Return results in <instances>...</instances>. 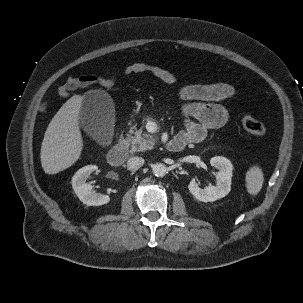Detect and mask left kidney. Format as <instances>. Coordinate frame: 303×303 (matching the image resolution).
I'll return each instance as SVG.
<instances>
[{
	"instance_id": "1",
	"label": "left kidney",
	"mask_w": 303,
	"mask_h": 303,
	"mask_svg": "<svg viewBox=\"0 0 303 303\" xmlns=\"http://www.w3.org/2000/svg\"><path fill=\"white\" fill-rule=\"evenodd\" d=\"M211 166L219 171L216 173V185L200 188L195 179L188 185L190 193L199 201L213 202L225 197L231 191V178L233 166L230 160L222 156H215L210 160Z\"/></svg>"
}]
</instances>
